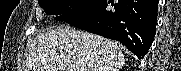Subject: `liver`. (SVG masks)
Here are the masks:
<instances>
[{
	"label": "liver",
	"mask_w": 181,
	"mask_h": 71,
	"mask_svg": "<svg viewBox=\"0 0 181 71\" xmlns=\"http://www.w3.org/2000/svg\"><path fill=\"white\" fill-rule=\"evenodd\" d=\"M124 64V54L116 42L57 27L34 38L23 71H119Z\"/></svg>",
	"instance_id": "1"
}]
</instances>
